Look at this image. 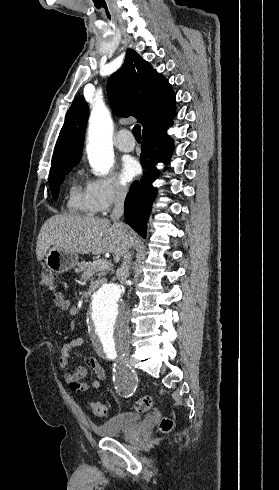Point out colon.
Here are the masks:
<instances>
[{
	"label": "colon",
	"mask_w": 279,
	"mask_h": 490,
	"mask_svg": "<svg viewBox=\"0 0 279 490\" xmlns=\"http://www.w3.org/2000/svg\"><path fill=\"white\" fill-rule=\"evenodd\" d=\"M40 284L44 288L54 289L56 286L55 274L51 270H43L40 276ZM152 404L153 399L150 396H144L135 401L133 409L138 413L145 412L151 408ZM89 408L97 416H107L109 414V406L99 401L91 402ZM172 426L173 421L168 416H165L159 424V428L163 433H168Z\"/></svg>",
	"instance_id": "5ec220e1"
}]
</instances>
